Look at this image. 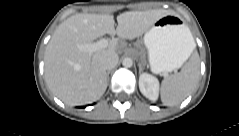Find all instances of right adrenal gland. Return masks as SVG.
<instances>
[{"label":"right adrenal gland","instance_id":"obj_1","mask_svg":"<svg viewBox=\"0 0 239 136\" xmlns=\"http://www.w3.org/2000/svg\"><path fill=\"white\" fill-rule=\"evenodd\" d=\"M110 71L107 72V81L109 80Z\"/></svg>","mask_w":239,"mask_h":136}]
</instances>
